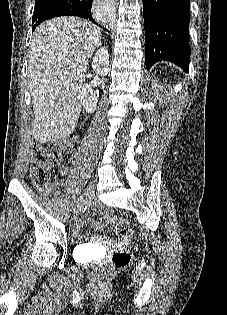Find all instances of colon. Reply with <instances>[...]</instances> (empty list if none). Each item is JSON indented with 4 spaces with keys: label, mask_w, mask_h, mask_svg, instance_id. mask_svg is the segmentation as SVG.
<instances>
[{
    "label": "colon",
    "mask_w": 227,
    "mask_h": 315,
    "mask_svg": "<svg viewBox=\"0 0 227 315\" xmlns=\"http://www.w3.org/2000/svg\"><path fill=\"white\" fill-rule=\"evenodd\" d=\"M78 146V139L70 135L49 143H36L32 153L31 179L35 187L41 190L49 186L52 172L62 163L71 159L72 154ZM112 231L116 234L131 239L135 245L134 232L123 219L113 218L111 220ZM132 259L130 250H120L114 253L110 260L104 261L98 266V275L107 277L117 268L127 266Z\"/></svg>",
    "instance_id": "1"
}]
</instances>
